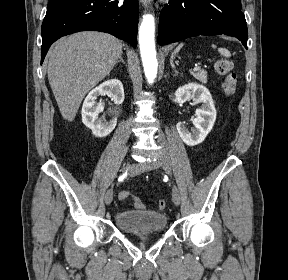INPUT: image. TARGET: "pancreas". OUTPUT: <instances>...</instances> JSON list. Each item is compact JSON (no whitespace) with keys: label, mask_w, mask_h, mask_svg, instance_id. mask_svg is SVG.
I'll return each instance as SVG.
<instances>
[{"label":"pancreas","mask_w":288,"mask_h":280,"mask_svg":"<svg viewBox=\"0 0 288 280\" xmlns=\"http://www.w3.org/2000/svg\"><path fill=\"white\" fill-rule=\"evenodd\" d=\"M193 76L202 83H207V71L198 70L193 73Z\"/></svg>","instance_id":"cf45deb5"}]
</instances>
